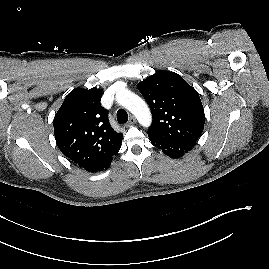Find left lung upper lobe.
<instances>
[{
    "instance_id": "left-lung-upper-lobe-1",
    "label": "left lung upper lobe",
    "mask_w": 269,
    "mask_h": 269,
    "mask_svg": "<svg viewBox=\"0 0 269 269\" xmlns=\"http://www.w3.org/2000/svg\"><path fill=\"white\" fill-rule=\"evenodd\" d=\"M152 112L149 138L168 142H196L205 114L197 91L174 72L160 71L137 85Z\"/></svg>"
}]
</instances>
